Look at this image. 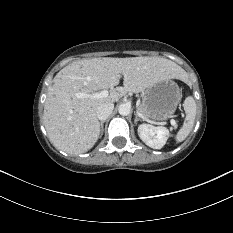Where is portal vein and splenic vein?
I'll list each match as a JSON object with an SVG mask.
<instances>
[{"mask_svg":"<svg viewBox=\"0 0 233 233\" xmlns=\"http://www.w3.org/2000/svg\"><path fill=\"white\" fill-rule=\"evenodd\" d=\"M109 95V92L108 90H102L101 92H98V93H94L92 95H90L92 98H104V97H107ZM87 95L84 94V93H76L75 94V97L76 98H84L86 97ZM170 123L172 126H175L176 125V122L175 120L171 119L170 120Z\"/></svg>","mask_w":233,"mask_h":233,"instance_id":"portal-vein-and-splenic-vein-1","label":"portal vein and splenic vein"}]
</instances>
